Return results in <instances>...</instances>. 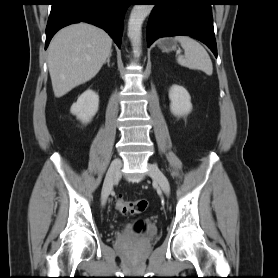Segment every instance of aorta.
<instances>
[{
  "mask_svg": "<svg viewBox=\"0 0 278 278\" xmlns=\"http://www.w3.org/2000/svg\"><path fill=\"white\" fill-rule=\"evenodd\" d=\"M152 10V5H134L128 21V37L135 50L139 51L142 37V24Z\"/></svg>",
  "mask_w": 278,
  "mask_h": 278,
  "instance_id": "1",
  "label": "aorta"
}]
</instances>
